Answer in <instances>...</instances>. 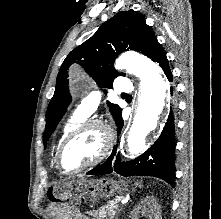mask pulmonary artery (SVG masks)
Listing matches in <instances>:
<instances>
[{
    "instance_id": "pulmonary-artery-1",
    "label": "pulmonary artery",
    "mask_w": 221,
    "mask_h": 219,
    "mask_svg": "<svg viewBox=\"0 0 221 219\" xmlns=\"http://www.w3.org/2000/svg\"><path fill=\"white\" fill-rule=\"evenodd\" d=\"M115 86L116 92L121 95H129L133 91L131 81L129 80V78L124 76L118 77ZM100 101V93L98 91H94L81 102L76 112L79 113L81 116L88 117L97 110Z\"/></svg>"
}]
</instances>
